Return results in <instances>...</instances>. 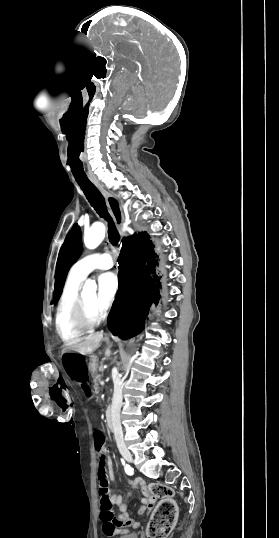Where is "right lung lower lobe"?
Here are the masks:
<instances>
[{
	"mask_svg": "<svg viewBox=\"0 0 279 538\" xmlns=\"http://www.w3.org/2000/svg\"><path fill=\"white\" fill-rule=\"evenodd\" d=\"M158 256L146 232L135 233L123 241L118 259L119 289L108 316L114 334L130 338L144 328V318L152 303L157 304L161 276Z\"/></svg>",
	"mask_w": 279,
	"mask_h": 538,
	"instance_id": "98d812e1",
	"label": "right lung lower lobe"
}]
</instances>
